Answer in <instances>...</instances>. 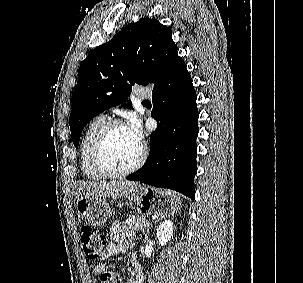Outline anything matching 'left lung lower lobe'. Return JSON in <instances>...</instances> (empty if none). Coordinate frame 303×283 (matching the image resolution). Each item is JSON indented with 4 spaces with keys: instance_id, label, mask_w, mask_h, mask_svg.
<instances>
[{
    "instance_id": "1",
    "label": "left lung lower lobe",
    "mask_w": 303,
    "mask_h": 283,
    "mask_svg": "<svg viewBox=\"0 0 303 283\" xmlns=\"http://www.w3.org/2000/svg\"><path fill=\"white\" fill-rule=\"evenodd\" d=\"M153 85L151 114L158 126L150 135L146 163L127 179L172 189L194 200L199 112L182 58L177 56Z\"/></svg>"
}]
</instances>
